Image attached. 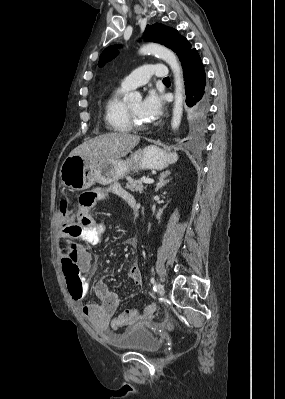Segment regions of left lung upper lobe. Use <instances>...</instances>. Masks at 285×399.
<instances>
[{"instance_id": "obj_1", "label": "left lung upper lobe", "mask_w": 285, "mask_h": 399, "mask_svg": "<svg viewBox=\"0 0 285 399\" xmlns=\"http://www.w3.org/2000/svg\"><path fill=\"white\" fill-rule=\"evenodd\" d=\"M144 38L146 41L157 42L172 49L178 55L179 59L192 49L188 40L178 34L177 30L159 23L147 25L144 31ZM118 47L119 45H115L106 48L100 56L98 65L101 67L113 59L118 54Z\"/></svg>"}]
</instances>
